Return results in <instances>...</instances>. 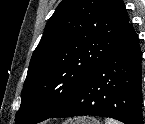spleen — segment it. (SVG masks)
Instances as JSON below:
<instances>
[{
    "label": "spleen",
    "instance_id": "3e777b00",
    "mask_svg": "<svg viewBox=\"0 0 145 124\" xmlns=\"http://www.w3.org/2000/svg\"><path fill=\"white\" fill-rule=\"evenodd\" d=\"M105 124H120V123L113 119H106Z\"/></svg>",
    "mask_w": 145,
    "mask_h": 124
}]
</instances>
